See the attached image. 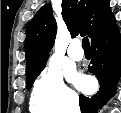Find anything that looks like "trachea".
I'll list each match as a JSON object with an SVG mask.
<instances>
[{"instance_id":"3493384b","label":"trachea","mask_w":121,"mask_h":113,"mask_svg":"<svg viewBox=\"0 0 121 113\" xmlns=\"http://www.w3.org/2000/svg\"><path fill=\"white\" fill-rule=\"evenodd\" d=\"M82 46L84 50H90V43L88 37H84L82 40Z\"/></svg>"}]
</instances>
